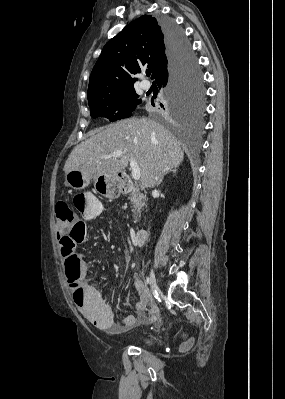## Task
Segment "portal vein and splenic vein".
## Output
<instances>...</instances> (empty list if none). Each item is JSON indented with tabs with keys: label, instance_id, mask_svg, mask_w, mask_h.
Listing matches in <instances>:
<instances>
[{
	"label": "portal vein and splenic vein",
	"instance_id": "portal-vein-and-splenic-vein-1",
	"mask_svg": "<svg viewBox=\"0 0 285 399\" xmlns=\"http://www.w3.org/2000/svg\"><path fill=\"white\" fill-rule=\"evenodd\" d=\"M120 156H122V152L121 151H115L109 156H104V158H112V157L117 158V157H120ZM130 168H131V171H132L131 172L132 178L134 180H136V181L139 180L140 176H141V169L138 166L137 162L134 161V160H131L130 161Z\"/></svg>",
	"mask_w": 285,
	"mask_h": 399
}]
</instances>
